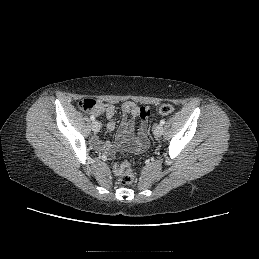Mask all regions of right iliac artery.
Listing matches in <instances>:
<instances>
[{"label": "right iliac artery", "instance_id": "82829eb1", "mask_svg": "<svg viewBox=\"0 0 259 259\" xmlns=\"http://www.w3.org/2000/svg\"><path fill=\"white\" fill-rule=\"evenodd\" d=\"M90 119H91L92 121H95V117H94L93 115L90 116Z\"/></svg>", "mask_w": 259, "mask_h": 259}]
</instances>
